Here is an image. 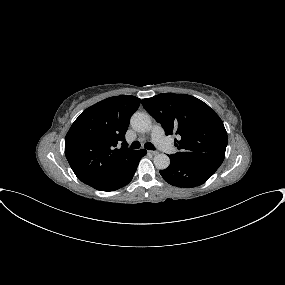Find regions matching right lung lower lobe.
<instances>
[{"label":"right lung lower lobe","instance_id":"1","mask_svg":"<svg viewBox=\"0 0 285 285\" xmlns=\"http://www.w3.org/2000/svg\"><path fill=\"white\" fill-rule=\"evenodd\" d=\"M146 153H147L146 150L137 151L134 162L127 169L126 172H124L122 175H120L114 179L99 183V184L94 185L92 187L97 189V190H100V191H114V190H117L119 188L124 187L125 185H127L132 180L140 159Z\"/></svg>","mask_w":285,"mask_h":285}]
</instances>
